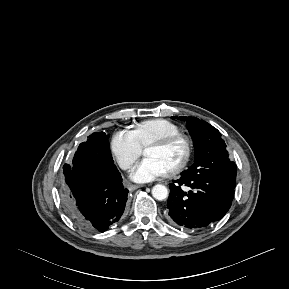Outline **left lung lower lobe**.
<instances>
[{
  "label": "left lung lower lobe",
  "instance_id": "obj_1",
  "mask_svg": "<svg viewBox=\"0 0 289 289\" xmlns=\"http://www.w3.org/2000/svg\"><path fill=\"white\" fill-rule=\"evenodd\" d=\"M191 188L187 193L181 189ZM236 183L223 174L185 176L169 184L167 220L183 229H197L222 219L229 210Z\"/></svg>",
  "mask_w": 289,
  "mask_h": 289
}]
</instances>
